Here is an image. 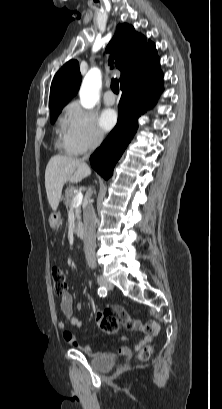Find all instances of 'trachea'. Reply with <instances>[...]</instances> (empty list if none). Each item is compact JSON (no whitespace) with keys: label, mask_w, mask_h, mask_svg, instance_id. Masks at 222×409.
Masks as SVG:
<instances>
[{"label":"trachea","mask_w":222,"mask_h":409,"mask_svg":"<svg viewBox=\"0 0 222 409\" xmlns=\"http://www.w3.org/2000/svg\"><path fill=\"white\" fill-rule=\"evenodd\" d=\"M109 65L111 66V69H113V62L111 59H109ZM111 88L113 90L114 93H119V82L116 78H113L111 80Z\"/></svg>","instance_id":"3493384b"}]
</instances>
